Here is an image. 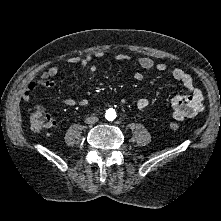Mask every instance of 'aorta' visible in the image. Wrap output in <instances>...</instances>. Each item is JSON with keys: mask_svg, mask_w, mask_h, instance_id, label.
<instances>
[{"mask_svg": "<svg viewBox=\"0 0 221 221\" xmlns=\"http://www.w3.org/2000/svg\"><path fill=\"white\" fill-rule=\"evenodd\" d=\"M105 117L109 121H113L116 118V112L114 109L110 108L106 111Z\"/></svg>", "mask_w": 221, "mask_h": 221, "instance_id": "aorta-1", "label": "aorta"}]
</instances>
